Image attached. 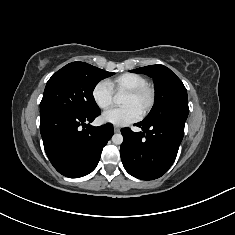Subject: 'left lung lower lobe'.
<instances>
[{
	"label": "left lung lower lobe",
	"mask_w": 235,
	"mask_h": 235,
	"mask_svg": "<svg viewBox=\"0 0 235 235\" xmlns=\"http://www.w3.org/2000/svg\"><path fill=\"white\" fill-rule=\"evenodd\" d=\"M185 121L176 117L142 121L136 124L142 129L137 133L123 128L120 155L126 171L142 180L165 174L177 156Z\"/></svg>",
	"instance_id": "obj_1"
}]
</instances>
